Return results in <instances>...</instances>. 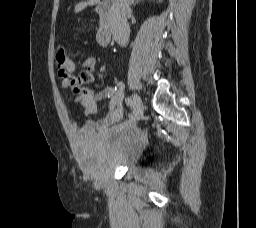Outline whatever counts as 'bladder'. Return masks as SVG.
<instances>
[{
	"label": "bladder",
	"mask_w": 256,
	"mask_h": 228,
	"mask_svg": "<svg viewBox=\"0 0 256 228\" xmlns=\"http://www.w3.org/2000/svg\"><path fill=\"white\" fill-rule=\"evenodd\" d=\"M147 143V136L134 127H115L102 135L81 133L77 154L95 179L109 170L130 166Z\"/></svg>",
	"instance_id": "1"
}]
</instances>
